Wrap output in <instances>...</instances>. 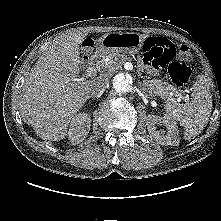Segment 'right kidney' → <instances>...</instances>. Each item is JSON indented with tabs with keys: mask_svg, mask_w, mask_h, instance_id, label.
Returning <instances> with one entry per match:
<instances>
[{
	"mask_svg": "<svg viewBox=\"0 0 221 221\" xmlns=\"http://www.w3.org/2000/svg\"><path fill=\"white\" fill-rule=\"evenodd\" d=\"M91 119L86 113H78L70 121V128L67 132L72 144L82 142L90 131Z\"/></svg>",
	"mask_w": 221,
	"mask_h": 221,
	"instance_id": "1",
	"label": "right kidney"
}]
</instances>
